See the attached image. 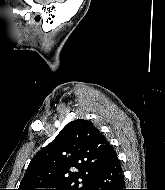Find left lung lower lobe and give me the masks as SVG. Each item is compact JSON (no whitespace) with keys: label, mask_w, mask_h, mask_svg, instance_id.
Masks as SVG:
<instances>
[{"label":"left lung lower lobe","mask_w":165,"mask_h":190,"mask_svg":"<svg viewBox=\"0 0 165 190\" xmlns=\"http://www.w3.org/2000/svg\"><path fill=\"white\" fill-rule=\"evenodd\" d=\"M89 190H125L123 171L117 156L98 171Z\"/></svg>","instance_id":"0a47b994"}]
</instances>
